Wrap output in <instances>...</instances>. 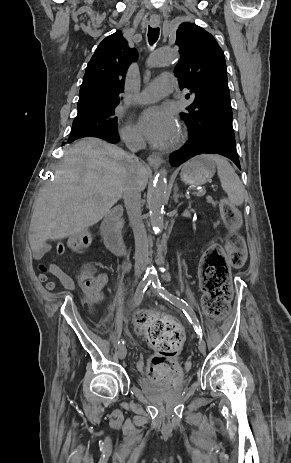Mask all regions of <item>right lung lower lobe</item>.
I'll return each instance as SVG.
<instances>
[{"instance_id":"obj_1","label":"right lung lower lobe","mask_w":291,"mask_h":463,"mask_svg":"<svg viewBox=\"0 0 291 463\" xmlns=\"http://www.w3.org/2000/svg\"><path fill=\"white\" fill-rule=\"evenodd\" d=\"M85 137H96V138H101L104 139L110 143H118L120 141L118 132L116 133H96V134H91ZM76 140V139H75ZM74 140H68V143L73 142Z\"/></svg>"}]
</instances>
